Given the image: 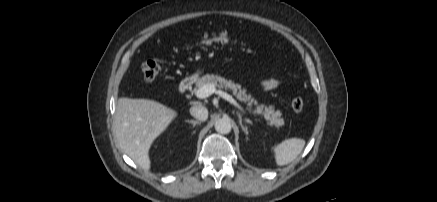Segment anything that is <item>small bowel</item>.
<instances>
[{
	"label": "small bowel",
	"instance_id": "small-bowel-1",
	"mask_svg": "<svg viewBox=\"0 0 437 202\" xmlns=\"http://www.w3.org/2000/svg\"><path fill=\"white\" fill-rule=\"evenodd\" d=\"M261 85L264 90H274L279 87L280 82L278 79L268 78L263 80Z\"/></svg>",
	"mask_w": 437,
	"mask_h": 202
}]
</instances>
